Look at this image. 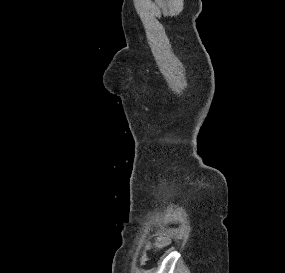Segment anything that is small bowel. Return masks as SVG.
<instances>
[{
  "label": "small bowel",
  "mask_w": 285,
  "mask_h": 273,
  "mask_svg": "<svg viewBox=\"0 0 285 273\" xmlns=\"http://www.w3.org/2000/svg\"><path fill=\"white\" fill-rule=\"evenodd\" d=\"M161 243L164 244V243H166V241H165V240H162Z\"/></svg>",
  "instance_id": "small-bowel-1"
}]
</instances>
